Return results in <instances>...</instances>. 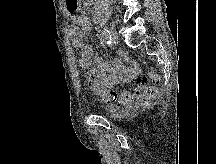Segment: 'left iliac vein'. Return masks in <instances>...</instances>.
I'll return each mask as SVG.
<instances>
[{
    "instance_id": "1",
    "label": "left iliac vein",
    "mask_w": 216,
    "mask_h": 164,
    "mask_svg": "<svg viewBox=\"0 0 216 164\" xmlns=\"http://www.w3.org/2000/svg\"><path fill=\"white\" fill-rule=\"evenodd\" d=\"M111 34V43L112 45L116 46L118 44V36L113 28L110 29Z\"/></svg>"
}]
</instances>
